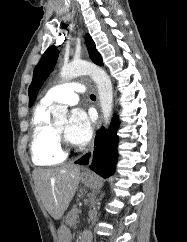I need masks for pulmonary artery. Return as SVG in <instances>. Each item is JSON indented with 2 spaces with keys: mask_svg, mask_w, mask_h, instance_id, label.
Listing matches in <instances>:
<instances>
[{
  "mask_svg": "<svg viewBox=\"0 0 187 242\" xmlns=\"http://www.w3.org/2000/svg\"><path fill=\"white\" fill-rule=\"evenodd\" d=\"M85 87L78 82H66L51 87L42 98V102L51 105L63 103L74 105L78 102V93H84Z\"/></svg>",
  "mask_w": 187,
  "mask_h": 242,
  "instance_id": "e3ab8cb5",
  "label": "pulmonary artery"
}]
</instances>
